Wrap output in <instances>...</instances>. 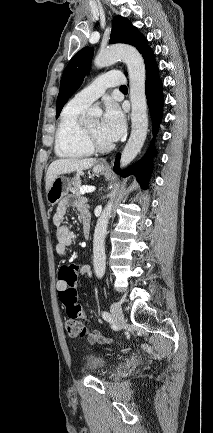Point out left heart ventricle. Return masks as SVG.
Here are the masks:
<instances>
[{
    "label": "left heart ventricle",
    "instance_id": "1",
    "mask_svg": "<svg viewBox=\"0 0 213 433\" xmlns=\"http://www.w3.org/2000/svg\"><path fill=\"white\" fill-rule=\"evenodd\" d=\"M88 131L102 144L111 143L102 133L99 120H95L86 126Z\"/></svg>",
    "mask_w": 213,
    "mask_h": 433
}]
</instances>
